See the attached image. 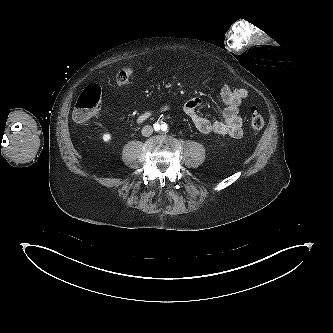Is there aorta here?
<instances>
[{
	"instance_id": "aorta-1",
	"label": "aorta",
	"mask_w": 333,
	"mask_h": 333,
	"mask_svg": "<svg viewBox=\"0 0 333 333\" xmlns=\"http://www.w3.org/2000/svg\"><path fill=\"white\" fill-rule=\"evenodd\" d=\"M155 130L158 132H166L167 131V125L165 123L160 124H155Z\"/></svg>"
}]
</instances>
